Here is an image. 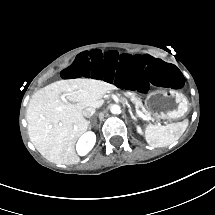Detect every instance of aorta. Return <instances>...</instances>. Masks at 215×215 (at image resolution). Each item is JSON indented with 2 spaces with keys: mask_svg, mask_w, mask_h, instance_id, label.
<instances>
[{
  "mask_svg": "<svg viewBox=\"0 0 215 215\" xmlns=\"http://www.w3.org/2000/svg\"><path fill=\"white\" fill-rule=\"evenodd\" d=\"M110 111H111L112 114H118V113H120L121 108H120L119 105L114 104V105H112V106L110 107Z\"/></svg>",
  "mask_w": 215,
  "mask_h": 215,
  "instance_id": "aorta-1",
  "label": "aorta"
}]
</instances>
